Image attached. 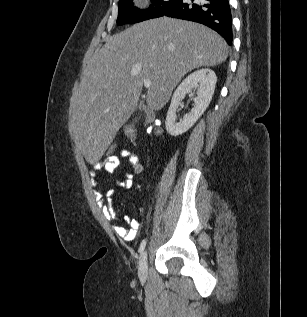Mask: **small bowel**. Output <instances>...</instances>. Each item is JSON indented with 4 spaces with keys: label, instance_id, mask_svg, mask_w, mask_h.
Masks as SVG:
<instances>
[{
    "label": "small bowel",
    "instance_id": "c3829d8e",
    "mask_svg": "<svg viewBox=\"0 0 307 317\" xmlns=\"http://www.w3.org/2000/svg\"><path fill=\"white\" fill-rule=\"evenodd\" d=\"M120 157L129 162L132 168V173H126L125 178L118 182V187L129 189L132 186L133 174H139L143 170V164L140 158L132 150L123 149L120 152L119 156L99 161L95 164L94 168L95 170H101L106 173H113L118 169L120 165ZM114 193V189L108 190L106 192L105 199L102 197V195H97L102 214L107 220H112L115 218V212L111 205V200ZM124 221L129 225V227L114 225L113 230L123 240L132 241L136 237L137 230L139 229L140 224L128 215L124 217Z\"/></svg>",
    "mask_w": 307,
    "mask_h": 317
}]
</instances>
